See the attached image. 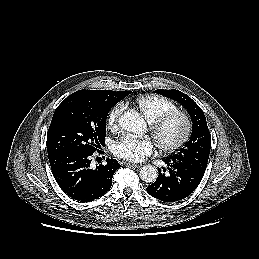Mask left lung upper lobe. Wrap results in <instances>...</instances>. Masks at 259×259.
I'll use <instances>...</instances> for the list:
<instances>
[{"mask_svg": "<svg viewBox=\"0 0 259 259\" xmlns=\"http://www.w3.org/2000/svg\"><path fill=\"white\" fill-rule=\"evenodd\" d=\"M155 92L182 104L192 119L190 140L178 153L168 158L189 162L205 171L210 154L211 136L204 112L188 95L179 90L158 89Z\"/></svg>", "mask_w": 259, "mask_h": 259, "instance_id": "1", "label": "left lung upper lobe"}]
</instances>
